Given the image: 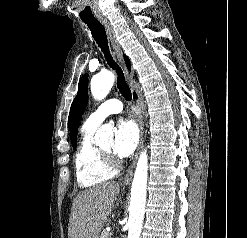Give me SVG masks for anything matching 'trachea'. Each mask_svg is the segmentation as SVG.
I'll list each match as a JSON object with an SVG mask.
<instances>
[{
    "label": "trachea",
    "instance_id": "1",
    "mask_svg": "<svg viewBox=\"0 0 247 238\" xmlns=\"http://www.w3.org/2000/svg\"><path fill=\"white\" fill-rule=\"evenodd\" d=\"M89 27L93 38L101 48L108 65L117 73V87L123 97L130 101L132 99L131 91L125 81L124 74L119 65L113 60L108 46V40L104 26L99 21H84Z\"/></svg>",
    "mask_w": 247,
    "mask_h": 238
}]
</instances>
